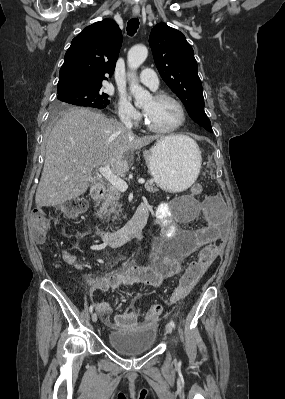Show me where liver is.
Segmentation results:
<instances>
[{"mask_svg":"<svg viewBox=\"0 0 285 399\" xmlns=\"http://www.w3.org/2000/svg\"><path fill=\"white\" fill-rule=\"evenodd\" d=\"M173 137H138L99 112L71 109L49 135L35 202L40 207L56 206L75 199L88 189L94 168L109 164L114 174L123 175L133 163L130 152Z\"/></svg>","mask_w":285,"mask_h":399,"instance_id":"liver-1","label":"liver"}]
</instances>
